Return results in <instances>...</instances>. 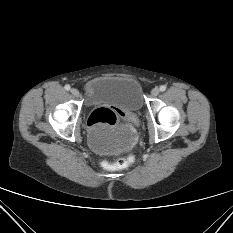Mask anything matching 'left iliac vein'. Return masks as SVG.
Returning <instances> with one entry per match:
<instances>
[{"label":"left iliac vein","instance_id":"left-iliac-vein-1","mask_svg":"<svg viewBox=\"0 0 233 233\" xmlns=\"http://www.w3.org/2000/svg\"><path fill=\"white\" fill-rule=\"evenodd\" d=\"M159 92H160L159 88L156 87V88L152 89L151 96L156 97L159 94Z\"/></svg>","mask_w":233,"mask_h":233}]
</instances>
